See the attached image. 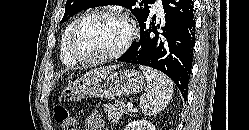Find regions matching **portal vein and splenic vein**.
Masks as SVG:
<instances>
[{
  "label": "portal vein and splenic vein",
  "instance_id": "1",
  "mask_svg": "<svg viewBox=\"0 0 249 130\" xmlns=\"http://www.w3.org/2000/svg\"><path fill=\"white\" fill-rule=\"evenodd\" d=\"M127 108L128 109H132L133 108V104L132 103H127Z\"/></svg>",
  "mask_w": 249,
  "mask_h": 130
}]
</instances>
